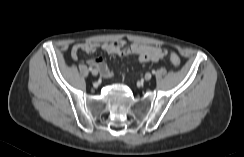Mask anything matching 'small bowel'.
Segmentation results:
<instances>
[{"mask_svg":"<svg viewBox=\"0 0 244 157\" xmlns=\"http://www.w3.org/2000/svg\"><path fill=\"white\" fill-rule=\"evenodd\" d=\"M97 49L108 54H114L121 57L128 55H135L137 60L141 63L145 62H159L162 60L167 52L165 49L153 46V45H144L140 43H131L129 44L126 40H116L113 42H104L98 43L94 41H86L76 44L72 49V58L77 59V54L80 51H85L87 53H93ZM88 64L97 68L101 75L105 78L111 76V70L107 66L105 60L102 57H95L88 60Z\"/></svg>","mask_w":244,"mask_h":157,"instance_id":"c3829d8e","label":"small bowel"}]
</instances>
